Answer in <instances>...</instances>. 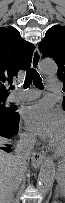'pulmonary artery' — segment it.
Masks as SVG:
<instances>
[{
    "label": "pulmonary artery",
    "instance_id": "obj_1",
    "mask_svg": "<svg viewBox=\"0 0 65 203\" xmlns=\"http://www.w3.org/2000/svg\"><path fill=\"white\" fill-rule=\"evenodd\" d=\"M47 90L51 92H58L60 90V83L56 79H49L47 81ZM40 92L37 90H24L14 92L9 96L11 102L30 101L38 98Z\"/></svg>",
    "mask_w": 65,
    "mask_h": 203
}]
</instances>
